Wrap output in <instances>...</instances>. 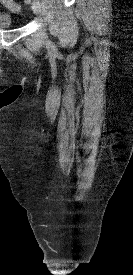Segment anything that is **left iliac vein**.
Segmentation results:
<instances>
[{"label": "left iliac vein", "mask_w": 133, "mask_h": 275, "mask_svg": "<svg viewBox=\"0 0 133 275\" xmlns=\"http://www.w3.org/2000/svg\"><path fill=\"white\" fill-rule=\"evenodd\" d=\"M32 10L35 14H39L41 12V4L39 0L32 1Z\"/></svg>", "instance_id": "obj_1"}]
</instances>
